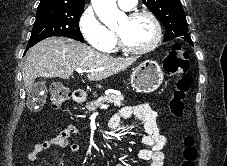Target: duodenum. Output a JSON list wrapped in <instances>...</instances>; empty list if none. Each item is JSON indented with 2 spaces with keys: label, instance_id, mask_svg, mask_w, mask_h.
<instances>
[{
  "label": "duodenum",
  "instance_id": "obj_1",
  "mask_svg": "<svg viewBox=\"0 0 227 166\" xmlns=\"http://www.w3.org/2000/svg\"><path fill=\"white\" fill-rule=\"evenodd\" d=\"M73 99L75 102L80 103L84 101V95L80 90L73 91Z\"/></svg>",
  "mask_w": 227,
  "mask_h": 166
}]
</instances>
